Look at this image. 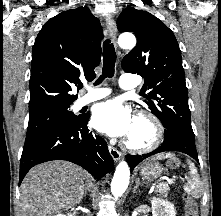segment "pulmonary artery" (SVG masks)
I'll use <instances>...</instances> for the list:
<instances>
[{
  "instance_id": "1",
  "label": "pulmonary artery",
  "mask_w": 221,
  "mask_h": 216,
  "mask_svg": "<svg viewBox=\"0 0 221 216\" xmlns=\"http://www.w3.org/2000/svg\"><path fill=\"white\" fill-rule=\"evenodd\" d=\"M138 85L137 81L128 75H122L119 79V86L122 89L130 90L136 88ZM88 92L78 98L75 103L76 108H81L89 103L100 100L111 93L109 88L97 87V88H87Z\"/></svg>"
}]
</instances>
